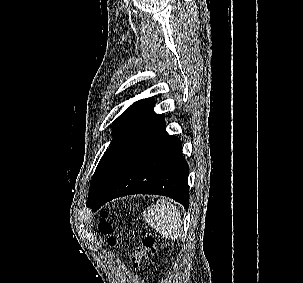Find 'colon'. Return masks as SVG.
Returning a JSON list of instances; mask_svg holds the SVG:
<instances>
[{
	"instance_id": "1",
	"label": "colon",
	"mask_w": 303,
	"mask_h": 283,
	"mask_svg": "<svg viewBox=\"0 0 303 283\" xmlns=\"http://www.w3.org/2000/svg\"><path fill=\"white\" fill-rule=\"evenodd\" d=\"M108 211H103L100 216L99 230L103 234L112 233V225L108 221ZM110 244H114V238L109 239ZM157 252L156 240L151 235H146L142 241L137 243L132 252L131 260L134 266H140L147 258Z\"/></svg>"
}]
</instances>
